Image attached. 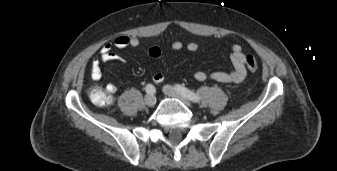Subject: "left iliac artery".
Returning <instances> with one entry per match:
<instances>
[{
    "mask_svg": "<svg viewBox=\"0 0 337 171\" xmlns=\"http://www.w3.org/2000/svg\"><path fill=\"white\" fill-rule=\"evenodd\" d=\"M175 89L184 97H186L187 99L193 101V102H199L200 101V97L198 95H196L194 92L190 91L189 89H187L184 86L181 85H176Z\"/></svg>",
    "mask_w": 337,
    "mask_h": 171,
    "instance_id": "1",
    "label": "left iliac artery"
}]
</instances>
